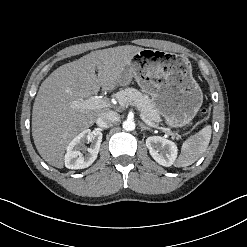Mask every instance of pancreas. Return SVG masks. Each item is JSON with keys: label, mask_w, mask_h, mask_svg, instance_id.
<instances>
[{"label": "pancreas", "mask_w": 247, "mask_h": 247, "mask_svg": "<svg viewBox=\"0 0 247 247\" xmlns=\"http://www.w3.org/2000/svg\"><path fill=\"white\" fill-rule=\"evenodd\" d=\"M116 99L121 106L135 105L144 117L152 123H159L161 121V117L149 96L142 94L135 88H126L119 91L116 94ZM175 136L178 135L175 134Z\"/></svg>", "instance_id": "pancreas-1"}]
</instances>
